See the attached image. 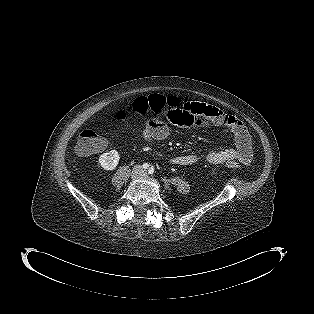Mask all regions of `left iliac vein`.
<instances>
[{
  "mask_svg": "<svg viewBox=\"0 0 314 314\" xmlns=\"http://www.w3.org/2000/svg\"><path fill=\"white\" fill-rule=\"evenodd\" d=\"M145 174H146V172L144 171V172H143V175H145Z\"/></svg>",
  "mask_w": 314,
  "mask_h": 314,
  "instance_id": "left-iliac-vein-1",
  "label": "left iliac vein"
}]
</instances>
